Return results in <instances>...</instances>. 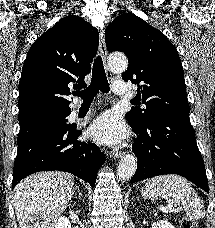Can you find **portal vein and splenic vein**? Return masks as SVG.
Listing matches in <instances>:
<instances>
[{"label": "portal vein and splenic vein", "mask_w": 215, "mask_h": 228, "mask_svg": "<svg viewBox=\"0 0 215 228\" xmlns=\"http://www.w3.org/2000/svg\"><path fill=\"white\" fill-rule=\"evenodd\" d=\"M163 212H172V210H167V208H164Z\"/></svg>", "instance_id": "portal-vein-and-splenic-vein-1"}]
</instances>
